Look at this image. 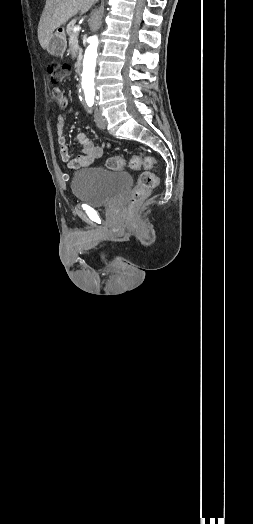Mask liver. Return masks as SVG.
<instances>
[{"label": "liver", "mask_w": 253, "mask_h": 524, "mask_svg": "<svg viewBox=\"0 0 253 524\" xmlns=\"http://www.w3.org/2000/svg\"><path fill=\"white\" fill-rule=\"evenodd\" d=\"M98 0H46L38 25V39L41 47L47 49L55 29L65 24L78 12H88Z\"/></svg>", "instance_id": "1"}]
</instances>
